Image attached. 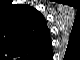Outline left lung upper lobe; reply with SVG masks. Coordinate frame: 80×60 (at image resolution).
<instances>
[{
  "label": "left lung upper lobe",
  "mask_w": 80,
  "mask_h": 60,
  "mask_svg": "<svg viewBox=\"0 0 80 60\" xmlns=\"http://www.w3.org/2000/svg\"><path fill=\"white\" fill-rule=\"evenodd\" d=\"M23 14H27L25 17V20H30L29 15H28V9H23ZM30 22L31 21H27ZM24 23V22H23ZM28 25V23H27ZM31 33L30 31L26 30V33L19 32V36L17 37V41L19 44H21V48H31L33 45L36 43V41L39 40L38 33H33L31 36H29Z\"/></svg>",
  "instance_id": "1"
}]
</instances>
